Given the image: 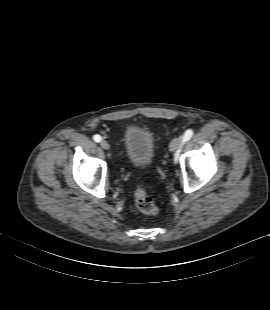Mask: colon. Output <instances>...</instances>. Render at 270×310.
<instances>
[{
	"label": "colon",
	"mask_w": 270,
	"mask_h": 310,
	"mask_svg": "<svg viewBox=\"0 0 270 310\" xmlns=\"http://www.w3.org/2000/svg\"><path fill=\"white\" fill-rule=\"evenodd\" d=\"M135 204L137 208L144 214L157 215L159 208L153 198L142 187L135 191Z\"/></svg>",
	"instance_id": "1"
}]
</instances>
